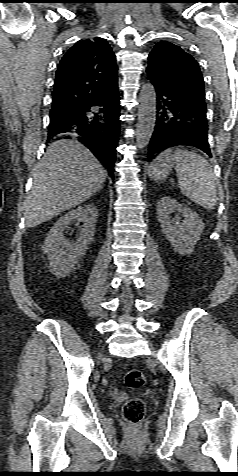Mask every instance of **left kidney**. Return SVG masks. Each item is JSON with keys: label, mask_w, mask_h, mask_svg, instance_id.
Returning <instances> with one entry per match:
<instances>
[{"label": "left kidney", "mask_w": 238, "mask_h": 476, "mask_svg": "<svg viewBox=\"0 0 238 476\" xmlns=\"http://www.w3.org/2000/svg\"><path fill=\"white\" fill-rule=\"evenodd\" d=\"M156 209L162 233L174 250L182 255L191 254L204 229V223L199 215L168 196L160 198ZM172 212H177L176 222L170 218ZM179 214L184 217L182 223L179 222Z\"/></svg>", "instance_id": "1"}]
</instances>
